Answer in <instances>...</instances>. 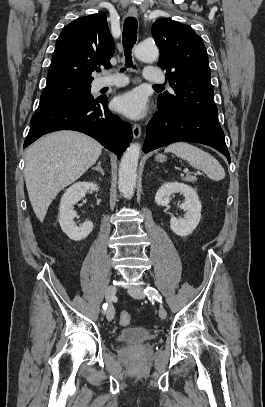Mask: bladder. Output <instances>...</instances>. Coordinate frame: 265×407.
I'll return each instance as SVG.
<instances>
[{
	"label": "bladder",
	"instance_id": "obj_1",
	"mask_svg": "<svg viewBox=\"0 0 265 407\" xmlns=\"http://www.w3.org/2000/svg\"><path fill=\"white\" fill-rule=\"evenodd\" d=\"M153 331L142 327H126L122 329L116 339L125 344H144L154 338Z\"/></svg>",
	"mask_w": 265,
	"mask_h": 407
}]
</instances>
